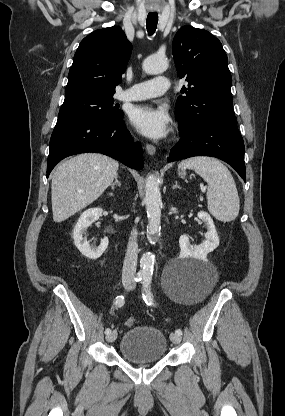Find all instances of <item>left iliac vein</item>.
<instances>
[{
    "mask_svg": "<svg viewBox=\"0 0 285 416\" xmlns=\"http://www.w3.org/2000/svg\"><path fill=\"white\" fill-rule=\"evenodd\" d=\"M134 287H131V290L133 289ZM170 340L172 341V343L173 344H179L180 343V341H181V337L179 336V335H177V334H174V333H172L171 335H170Z\"/></svg>",
    "mask_w": 285,
    "mask_h": 416,
    "instance_id": "4c4485c4",
    "label": "left iliac vein"
}]
</instances>
